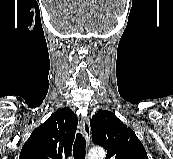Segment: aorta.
I'll use <instances>...</instances> for the list:
<instances>
[{"label": "aorta", "mask_w": 173, "mask_h": 159, "mask_svg": "<svg viewBox=\"0 0 173 159\" xmlns=\"http://www.w3.org/2000/svg\"><path fill=\"white\" fill-rule=\"evenodd\" d=\"M105 155L106 154L103 148L96 147V148H92L89 151L88 159H104Z\"/></svg>", "instance_id": "762f6f07"}]
</instances>
